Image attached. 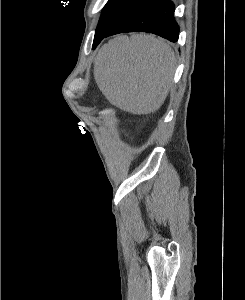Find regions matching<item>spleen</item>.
I'll return each mask as SVG.
<instances>
[{
	"label": "spleen",
	"mask_w": 245,
	"mask_h": 300,
	"mask_svg": "<svg viewBox=\"0 0 245 300\" xmlns=\"http://www.w3.org/2000/svg\"><path fill=\"white\" fill-rule=\"evenodd\" d=\"M174 64L175 54L163 40L149 35L119 36L99 50L94 78L112 105L147 114L164 102Z\"/></svg>",
	"instance_id": "3e777b00"
}]
</instances>
